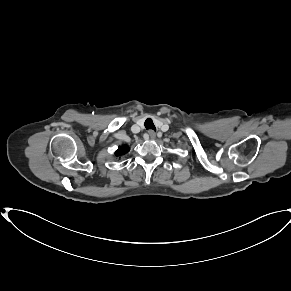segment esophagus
Here are the masks:
<instances>
[{"label": "esophagus", "mask_w": 291, "mask_h": 291, "mask_svg": "<svg viewBox=\"0 0 291 291\" xmlns=\"http://www.w3.org/2000/svg\"><path fill=\"white\" fill-rule=\"evenodd\" d=\"M148 134H149V137H150L151 139H154V138L156 137V133H155L153 130H149V131H148Z\"/></svg>", "instance_id": "esophagus-1"}]
</instances>
